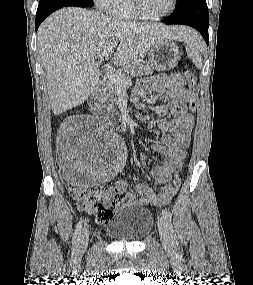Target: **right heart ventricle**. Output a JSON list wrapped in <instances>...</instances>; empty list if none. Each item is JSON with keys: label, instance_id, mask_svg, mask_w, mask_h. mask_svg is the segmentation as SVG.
<instances>
[{"label": "right heart ventricle", "instance_id": "1", "mask_svg": "<svg viewBox=\"0 0 253 285\" xmlns=\"http://www.w3.org/2000/svg\"><path fill=\"white\" fill-rule=\"evenodd\" d=\"M108 11L116 19L138 18L132 8L131 0H113Z\"/></svg>", "mask_w": 253, "mask_h": 285}]
</instances>
